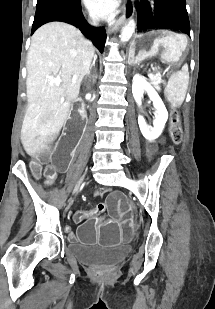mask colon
<instances>
[{"instance_id":"5ec220e1","label":"colon","mask_w":215,"mask_h":309,"mask_svg":"<svg viewBox=\"0 0 215 309\" xmlns=\"http://www.w3.org/2000/svg\"><path fill=\"white\" fill-rule=\"evenodd\" d=\"M170 130H171V138L175 144H180L182 141V127L181 120L178 111L173 108L171 110V118H170ZM56 170L53 166L47 168L46 170V184L50 185L53 183L55 179Z\"/></svg>"}]
</instances>
